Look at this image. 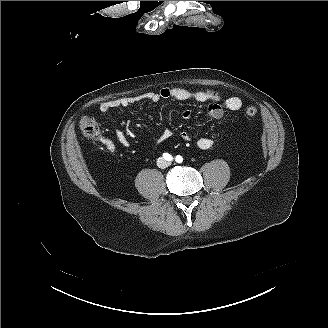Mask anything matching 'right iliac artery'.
Segmentation results:
<instances>
[{
	"instance_id": "82829eb1",
	"label": "right iliac artery",
	"mask_w": 328,
	"mask_h": 328,
	"mask_svg": "<svg viewBox=\"0 0 328 328\" xmlns=\"http://www.w3.org/2000/svg\"><path fill=\"white\" fill-rule=\"evenodd\" d=\"M163 158L167 161H172L173 160V157L168 153H164Z\"/></svg>"
}]
</instances>
